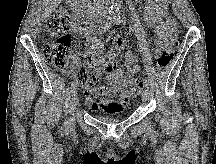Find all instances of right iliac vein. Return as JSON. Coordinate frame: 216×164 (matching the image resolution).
Wrapping results in <instances>:
<instances>
[{"mask_svg": "<svg viewBox=\"0 0 216 164\" xmlns=\"http://www.w3.org/2000/svg\"><path fill=\"white\" fill-rule=\"evenodd\" d=\"M78 104V96H77V92L76 90H74L72 92V95H71V101H70V112H71V115L74 116L75 115V109H76V106ZM71 121V120H70Z\"/></svg>", "mask_w": 216, "mask_h": 164, "instance_id": "63e3f726", "label": "right iliac vein"}]
</instances>
